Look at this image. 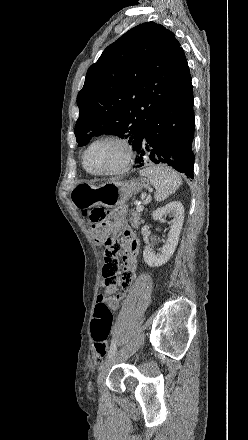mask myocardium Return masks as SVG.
Returning a JSON list of instances; mask_svg holds the SVG:
<instances>
[{
    "label": "myocardium",
    "instance_id": "myocardium-1",
    "mask_svg": "<svg viewBox=\"0 0 248 440\" xmlns=\"http://www.w3.org/2000/svg\"><path fill=\"white\" fill-rule=\"evenodd\" d=\"M103 141H113L118 143L119 145H121V147L124 150V158L120 164V166H118L117 168L111 169V170H107V171H101V172H96V171H92L89 169L88 165H87V155L88 152L90 151V149L96 145L97 143L103 142ZM83 166L85 168V170L91 174V175H95V176H115V175H120L124 172H126L133 160V149L131 144L129 143V141L120 136V135H116V134H106V135H102L96 139H94L85 149L84 153H83Z\"/></svg>",
    "mask_w": 248,
    "mask_h": 440
}]
</instances>
